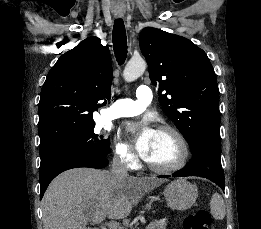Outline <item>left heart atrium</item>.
<instances>
[{
  "mask_svg": "<svg viewBox=\"0 0 261 229\" xmlns=\"http://www.w3.org/2000/svg\"><path fill=\"white\" fill-rule=\"evenodd\" d=\"M128 130L133 135V141L137 151L142 157L146 158L150 152L157 131L150 127L137 129L133 126L129 127Z\"/></svg>",
  "mask_w": 261,
  "mask_h": 229,
  "instance_id": "obj_1",
  "label": "left heart atrium"
}]
</instances>
